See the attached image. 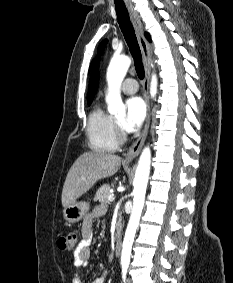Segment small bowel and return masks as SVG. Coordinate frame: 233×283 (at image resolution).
<instances>
[{"label": "small bowel", "mask_w": 233, "mask_h": 283, "mask_svg": "<svg viewBox=\"0 0 233 283\" xmlns=\"http://www.w3.org/2000/svg\"><path fill=\"white\" fill-rule=\"evenodd\" d=\"M104 211L105 209L102 206L96 207L89 212L83 220L81 229L82 239L74 253V266L76 268L85 266L90 258V247L93 240V222L97 217L101 216ZM106 275L107 270L102 269L100 275H98L92 283H105ZM72 283H83V281L78 275H75L72 279Z\"/></svg>", "instance_id": "small-bowel-1"}]
</instances>
